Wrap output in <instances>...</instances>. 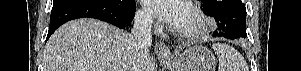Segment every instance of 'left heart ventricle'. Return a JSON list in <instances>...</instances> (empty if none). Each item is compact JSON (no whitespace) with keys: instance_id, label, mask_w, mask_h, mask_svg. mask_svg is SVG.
Here are the masks:
<instances>
[{"instance_id":"obj_1","label":"left heart ventricle","mask_w":301,"mask_h":71,"mask_svg":"<svg viewBox=\"0 0 301 71\" xmlns=\"http://www.w3.org/2000/svg\"><path fill=\"white\" fill-rule=\"evenodd\" d=\"M192 24H193V18L191 16V14L189 13V11L187 10L186 13H185L184 20H183V23H182L180 29L186 28V27H188Z\"/></svg>"}]
</instances>
